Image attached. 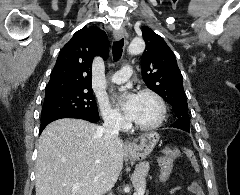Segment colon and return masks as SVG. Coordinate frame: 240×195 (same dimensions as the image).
<instances>
[{"mask_svg": "<svg viewBox=\"0 0 240 195\" xmlns=\"http://www.w3.org/2000/svg\"><path fill=\"white\" fill-rule=\"evenodd\" d=\"M186 159H189L194 168L198 167V162L195 154H186ZM173 160H177V150H170L169 148L162 149V180L166 181L167 176H171L173 173ZM161 169V168H160ZM161 177V176H160ZM161 179V178H160ZM193 191L195 195H204V192L198 185H194Z\"/></svg>", "mask_w": 240, "mask_h": 195, "instance_id": "colon-1", "label": "colon"}]
</instances>
